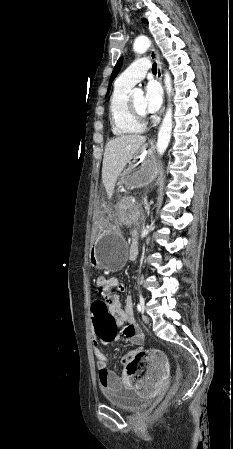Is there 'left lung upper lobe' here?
<instances>
[{"label": "left lung upper lobe", "instance_id": "5c2ea615", "mask_svg": "<svg viewBox=\"0 0 233 449\" xmlns=\"http://www.w3.org/2000/svg\"><path fill=\"white\" fill-rule=\"evenodd\" d=\"M142 21H143L144 23H148L146 19H142ZM122 63H123V58H120V59L118 60L117 64L115 65L114 69H113V72H112L111 77H110L109 86H108V91H107L106 96L108 95V93H109V91H110V87H111L112 81L114 80V78L116 77V75L118 74V72H119L120 69H121Z\"/></svg>", "mask_w": 233, "mask_h": 449}]
</instances>
